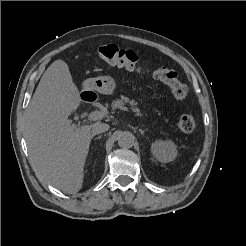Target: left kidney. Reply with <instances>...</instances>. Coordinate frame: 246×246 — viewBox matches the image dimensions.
Listing matches in <instances>:
<instances>
[{
  "label": "left kidney",
  "instance_id": "left-kidney-1",
  "mask_svg": "<svg viewBox=\"0 0 246 246\" xmlns=\"http://www.w3.org/2000/svg\"><path fill=\"white\" fill-rule=\"evenodd\" d=\"M152 155L160 162L168 163L177 157V146L171 140H156L151 146Z\"/></svg>",
  "mask_w": 246,
  "mask_h": 246
}]
</instances>
